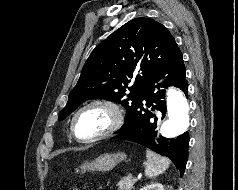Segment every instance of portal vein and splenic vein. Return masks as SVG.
<instances>
[{"mask_svg": "<svg viewBox=\"0 0 238 190\" xmlns=\"http://www.w3.org/2000/svg\"><path fill=\"white\" fill-rule=\"evenodd\" d=\"M128 176H129V177H132V175H131V174H129Z\"/></svg>", "mask_w": 238, "mask_h": 190, "instance_id": "portal-vein-and-splenic-vein-1", "label": "portal vein and splenic vein"}]
</instances>
